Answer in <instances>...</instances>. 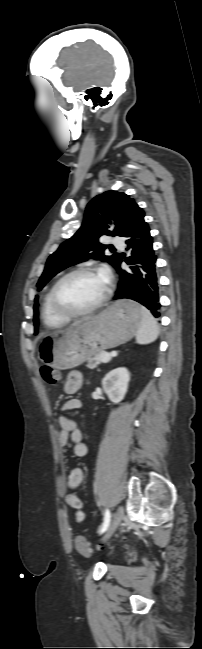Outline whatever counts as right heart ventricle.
<instances>
[{
	"label": "right heart ventricle",
	"mask_w": 202,
	"mask_h": 649,
	"mask_svg": "<svg viewBox=\"0 0 202 649\" xmlns=\"http://www.w3.org/2000/svg\"><path fill=\"white\" fill-rule=\"evenodd\" d=\"M52 287H49L44 294L42 305H41V316L43 323L49 328H58L65 325L69 318L62 316L56 312L51 302V290Z\"/></svg>",
	"instance_id": "1"
}]
</instances>
